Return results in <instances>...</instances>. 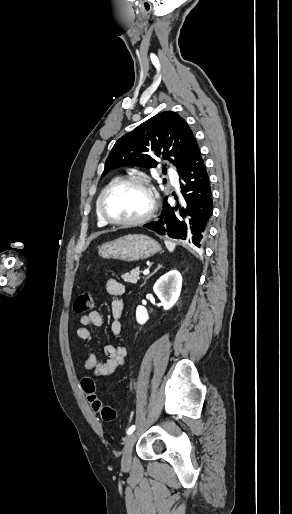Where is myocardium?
Here are the masks:
<instances>
[{"label": "myocardium", "instance_id": "f54148a6", "mask_svg": "<svg viewBox=\"0 0 292 514\" xmlns=\"http://www.w3.org/2000/svg\"><path fill=\"white\" fill-rule=\"evenodd\" d=\"M127 184L136 185V186L142 188L147 193V195L149 197V201H150L149 209L143 216L135 218V219H131V220L113 219L104 211L105 197L108 194V192L110 190H112L113 188L120 186V185H127ZM155 210H156V199H155V196H154L151 188L148 186V184L144 180L137 178V177H123V178H119V179L112 181L102 190V192L98 198L99 215L109 224H114V225H119V226L139 225V224H142V223L148 221L153 216Z\"/></svg>", "mask_w": 292, "mask_h": 514}]
</instances>
